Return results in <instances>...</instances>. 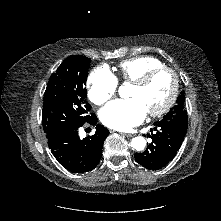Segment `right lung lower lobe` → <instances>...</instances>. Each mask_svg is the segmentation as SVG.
<instances>
[{
	"instance_id": "1",
	"label": "right lung lower lobe",
	"mask_w": 221,
	"mask_h": 221,
	"mask_svg": "<svg viewBox=\"0 0 221 221\" xmlns=\"http://www.w3.org/2000/svg\"><path fill=\"white\" fill-rule=\"evenodd\" d=\"M85 123L95 125L96 115L93 114ZM82 125L48 137V146L54 157L63 167L74 173H85L98 165L104 140L109 135L107 128L96 125L95 134L80 139L78 128Z\"/></svg>"
}]
</instances>
